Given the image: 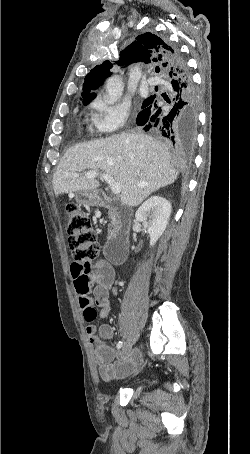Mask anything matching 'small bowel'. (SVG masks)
<instances>
[{
  "label": "small bowel",
  "instance_id": "c3829d8e",
  "mask_svg": "<svg viewBox=\"0 0 250 454\" xmlns=\"http://www.w3.org/2000/svg\"><path fill=\"white\" fill-rule=\"evenodd\" d=\"M70 275L82 310L95 305L99 308L98 316L106 318L110 312V294L116 292L113 267L104 261L95 263L74 261L70 265ZM87 332L93 345L94 360L103 380L123 378L136 370L141 361L138 351L123 355L104 342L113 336L114 329L111 325L103 324L97 328L90 324Z\"/></svg>",
  "mask_w": 250,
  "mask_h": 454
}]
</instances>
